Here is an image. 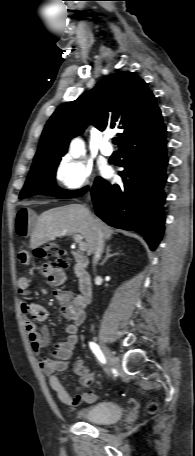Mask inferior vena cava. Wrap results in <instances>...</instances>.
<instances>
[{
  "instance_id": "1",
  "label": "inferior vena cava",
  "mask_w": 195,
  "mask_h": 456,
  "mask_svg": "<svg viewBox=\"0 0 195 456\" xmlns=\"http://www.w3.org/2000/svg\"><path fill=\"white\" fill-rule=\"evenodd\" d=\"M104 249V240L102 237V234L100 231L97 232V239H96V244L94 248V257H93V263L94 265L99 261L101 258V254Z\"/></svg>"
}]
</instances>
